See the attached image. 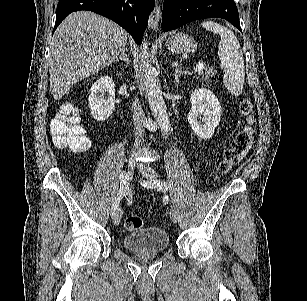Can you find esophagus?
Masks as SVG:
<instances>
[{
  "mask_svg": "<svg viewBox=\"0 0 307 301\" xmlns=\"http://www.w3.org/2000/svg\"><path fill=\"white\" fill-rule=\"evenodd\" d=\"M161 18V7L159 4H156L153 12L148 19V27L151 30L157 31L159 29V21Z\"/></svg>",
  "mask_w": 307,
  "mask_h": 301,
  "instance_id": "obj_1",
  "label": "esophagus"
}]
</instances>
